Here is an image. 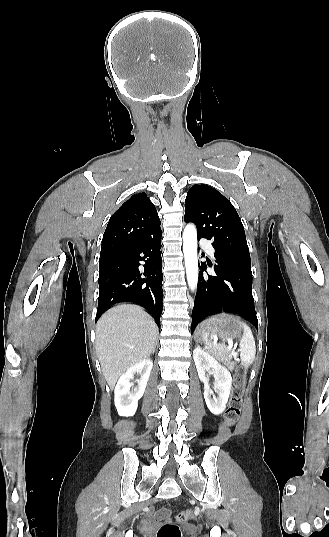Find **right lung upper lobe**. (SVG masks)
Here are the masks:
<instances>
[{"label":"right lung upper lobe","mask_w":329,"mask_h":537,"mask_svg":"<svg viewBox=\"0 0 329 537\" xmlns=\"http://www.w3.org/2000/svg\"><path fill=\"white\" fill-rule=\"evenodd\" d=\"M160 219L145 193L133 195L111 216L102 239L101 254L123 251L160 233Z\"/></svg>","instance_id":"obj_1"}]
</instances>
